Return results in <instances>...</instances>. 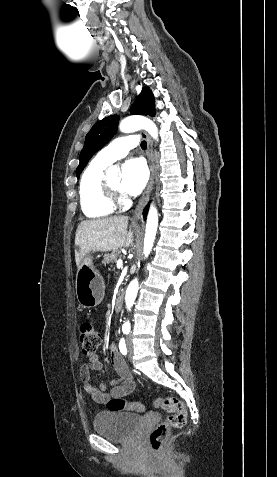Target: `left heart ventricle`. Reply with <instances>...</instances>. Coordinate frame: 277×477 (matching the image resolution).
I'll list each match as a JSON object with an SVG mask.
<instances>
[{
    "instance_id": "1",
    "label": "left heart ventricle",
    "mask_w": 277,
    "mask_h": 477,
    "mask_svg": "<svg viewBox=\"0 0 277 477\" xmlns=\"http://www.w3.org/2000/svg\"><path fill=\"white\" fill-rule=\"evenodd\" d=\"M110 184L115 188L118 189L121 186V177L120 175H110L108 176Z\"/></svg>"
}]
</instances>
